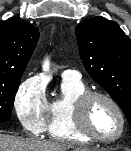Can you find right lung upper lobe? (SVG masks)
Here are the masks:
<instances>
[{"label":"right lung upper lobe","mask_w":131,"mask_h":151,"mask_svg":"<svg viewBox=\"0 0 131 151\" xmlns=\"http://www.w3.org/2000/svg\"><path fill=\"white\" fill-rule=\"evenodd\" d=\"M38 38V28L26 20L0 21V76L22 75Z\"/></svg>","instance_id":"cb5924a9"}]
</instances>
